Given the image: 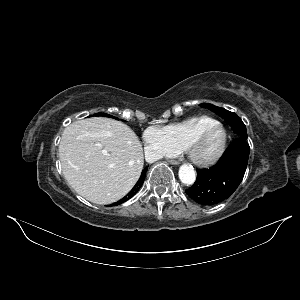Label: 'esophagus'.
<instances>
[{"instance_id":"34e87169","label":"esophagus","mask_w":300,"mask_h":300,"mask_svg":"<svg viewBox=\"0 0 300 300\" xmlns=\"http://www.w3.org/2000/svg\"><path fill=\"white\" fill-rule=\"evenodd\" d=\"M168 162H169L170 164H172V165H179V164H180V162L177 161V160H169Z\"/></svg>"}]
</instances>
